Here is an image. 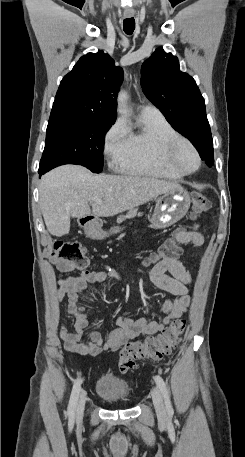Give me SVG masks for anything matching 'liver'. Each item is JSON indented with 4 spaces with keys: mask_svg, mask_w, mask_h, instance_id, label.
<instances>
[{
    "mask_svg": "<svg viewBox=\"0 0 245 457\" xmlns=\"http://www.w3.org/2000/svg\"><path fill=\"white\" fill-rule=\"evenodd\" d=\"M174 188L182 186L142 174H93L79 164H63L43 174L39 202L47 231L63 237L70 231V216L81 218L90 212L96 216H114ZM96 196L102 204L95 202Z\"/></svg>",
    "mask_w": 245,
    "mask_h": 457,
    "instance_id": "obj_1",
    "label": "liver"
}]
</instances>
